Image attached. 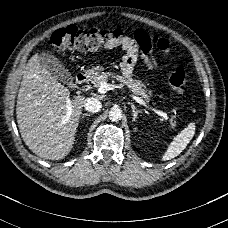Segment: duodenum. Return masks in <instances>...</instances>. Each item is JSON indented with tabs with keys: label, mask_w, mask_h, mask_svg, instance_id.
<instances>
[{
	"label": "duodenum",
	"mask_w": 228,
	"mask_h": 228,
	"mask_svg": "<svg viewBox=\"0 0 228 228\" xmlns=\"http://www.w3.org/2000/svg\"><path fill=\"white\" fill-rule=\"evenodd\" d=\"M89 75L86 72H79L75 77V83L79 86L84 85L88 81Z\"/></svg>",
	"instance_id": "obj_1"
}]
</instances>
